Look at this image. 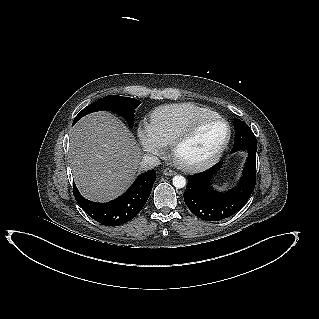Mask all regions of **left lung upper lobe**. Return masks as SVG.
Here are the masks:
<instances>
[{"label": "left lung upper lobe", "instance_id": "5c2ea615", "mask_svg": "<svg viewBox=\"0 0 319 319\" xmlns=\"http://www.w3.org/2000/svg\"><path fill=\"white\" fill-rule=\"evenodd\" d=\"M235 133L236 135L233 146V149L235 151L246 149L257 150V142L255 135L245 122L236 119Z\"/></svg>", "mask_w": 319, "mask_h": 319}]
</instances>
